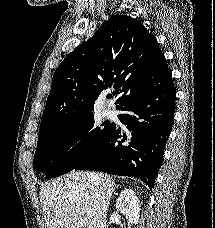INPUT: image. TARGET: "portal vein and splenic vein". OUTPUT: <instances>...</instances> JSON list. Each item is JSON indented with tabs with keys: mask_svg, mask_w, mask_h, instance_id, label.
I'll return each instance as SVG.
<instances>
[{
	"mask_svg": "<svg viewBox=\"0 0 215 228\" xmlns=\"http://www.w3.org/2000/svg\"><path fill=\"white\" fill-rule=\"evenodd\" d=\"M87 214H92V212H87Z\"/></svg>",
	"mask_w": 215,
	"mask_h": 228,
	"instance_id": "1",
	"label": "portal vein and splenic vein"
}]
</instances>
